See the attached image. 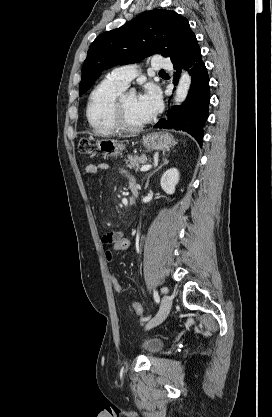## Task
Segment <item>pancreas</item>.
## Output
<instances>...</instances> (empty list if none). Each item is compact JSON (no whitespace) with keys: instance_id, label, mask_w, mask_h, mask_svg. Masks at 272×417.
Segmentation results:
<instances>
[{"instance_id":"cf45deb5","label":"pancreas","mask_w":272,"mask_h":417,"mask_svg":"<svg viewBox=\"0 0 272 417\" xmlns=\"http://www.w3.org/2000/svg\"><path fill=\"white\" fill-rule=\"evenodd\" d=\"M148 158L145 155L141 156H129L126 160V165L129 169H135L138 171L139 166L147 163Z\"/></svg>"}]
</instances>
